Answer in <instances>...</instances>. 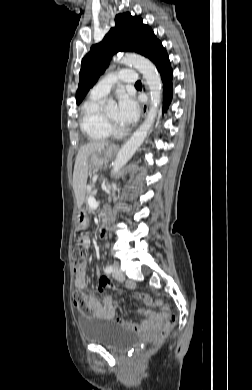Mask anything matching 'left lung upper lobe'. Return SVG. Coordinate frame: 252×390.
Listing matches in <instances>:
<instances>
[{
	"label": "left lung upper lobe",
	"instance_id": "5c2ea615",
	"mask_svg": "<svg viewBox=\"0 0 252 390\" xmlns=\"http://www.w3.org/2000/svg\"><path fill=\"white\" fill-rule=\"evenodd\" d=\"M159 42L153 30L142 23L140 17L129 12L115 17V27L104 39L91 47L81 62L80 79L76 102L81 103L87 92L97 82L117 52H135L148 57L153 46Z\"/></svg>",
	"mask_w": 252,
	"mask_h": 390
}]
</instances>
